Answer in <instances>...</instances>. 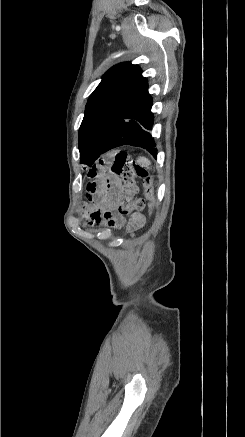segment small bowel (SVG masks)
Segmentation results:
<instances>
[{
  "mask_svg": "<svg viewBox=\"0 0 245 437\" xmlns=\"http://www.w3.org/2000/svg\"><path fill=\"white\" fill-rule=\"evenodd\" d=\"M114 162L111 154H102L97 166H91L88 172V179L92 180L88 184L87 190L93 195L96 192L101 191V184L96 183L94 180H105L106 175L113 168ZM108 190L105 192V206L106 210L100 215L93 217L92 222L98 224L101 218L106 221L110 226L120 227L124 224L125 220L122 215H117L112 212V210L117 206V196L120 191L121 185L118 179H113L109 185ZM144 224V216L142 214H133L130 221L128 222V228L130 230L141 227Z\"/></svg>",
  "mask_w": 245,
  "mask_h": 437,
  "instance_id": "small-bowel-1",
  "label": "small bowel"
}]
</instances>
